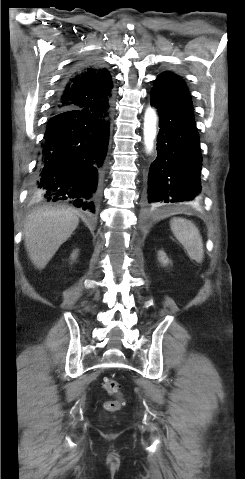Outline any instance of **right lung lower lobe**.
Masks as SVG:
<instances>
[{"mask_svg":"<svg viewBox=\"0 0 245 479\" xmlns=\"http://www.w3.org/2000/svg\"><path fill=\"white\" fill-rule=\"evenodd\" d=\"M86 65H78L73 72ZM111 112L112 100L53 112L31 187L36 199L65 202L94 212L105 170Z\"/></svg>","mask_w":245,"mask_h":479,"instance_id":"obj_1","label":"right lung lower lobe"}]
</instances>
